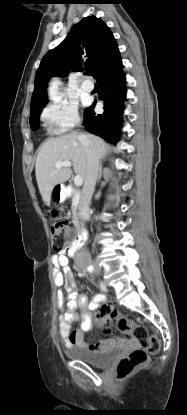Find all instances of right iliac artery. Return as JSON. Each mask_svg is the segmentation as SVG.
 Wrapping results in <instances>:
<instances>
[{
    "label": "right iliac artery",
    "mask_w": 187,
    "mask_h": 415,
    "mask_svg": "<svg viewBox=\"0 0 187 415\" xmlns=\"http://www.w3.org/2000/svg\"><path fill=\"white\" fill-rule=\"evenodd\" d=\"M87 270L89 271V272H93L94 271V267L92 266V265H90L88 268H87ZM101 287H102V289L105 291V286L103 285V284H101Z\"/></svg>",
    "instance_id": "82829eb1"
}]
</instances>
